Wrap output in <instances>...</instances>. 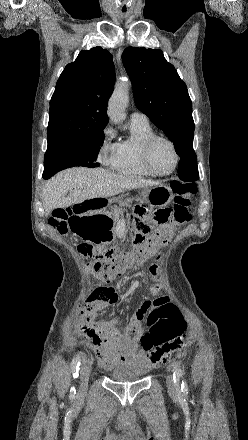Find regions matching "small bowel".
I'll use <instances>...</instances> for the list:
<instances>
[{
    "mask_svg": "<svg viewBox=\"0 0 248 440\" xmlns=\"http://www.w3.org/2000/svg\"><path fill=\"white\" fill-rule=\"evenodd\" d=\"M150 264L151 273L154 276L152 293L157 295L163 279L157 276L156 261L153 260ZM163 300L169 301V298L156 297L157 303H162ZM117 301L118 295L114 291L112 299H98L91 306L83 308L75 321L74 331L83 338L81 345L93 351L102 368L111 369L123 365L137 372H145L154 363L148 352L139 350V343L144 335L143 321L154 307V301H144L123 326H120L117 318L95 322L97 315L104 312L108 306L116 304Z\"/></svg>",
    "mask_w": 248,
    "mask_h": 440,
    "instance_id": "1",
    "label": "small bowel"
}]
</instances>
